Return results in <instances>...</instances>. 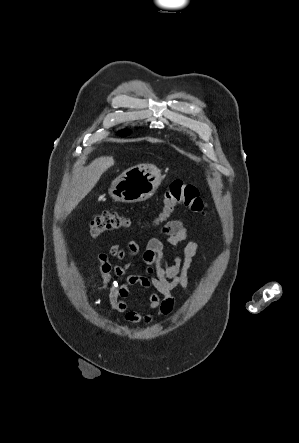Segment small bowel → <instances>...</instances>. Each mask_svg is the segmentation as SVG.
<instances>
[{
	"label": "small bowel",
	"instance_id": "c3829d8e",
	"mask_svg": "<svg viewBox=\"0 0 299 443\" xmlns=\"http://www.w3.org/2000/svg\"><path fill=\"white\" fill-rule=\"evenodd\" d=\"M167 236V243L175 251L174 261L168 264L164 258V244L158 238H150L142 253V259L146 264L144 274H128L132 263L123 265L111 264L108 256L117 260H124L127 256L135 257L140 253V245L136 240L128 243L123 249L119 245H112L108 254L98 255L101 286L109 288V301L112 308L119 313H124L125 319L130 323H149L152 314L149 311H157L162 316H168L174 308L172 291L175 288L187 289L189 287L188 271L194 256L199 252L200 246L195 241L188 242L182 251H179L181 243L189 238V232L179 220H173L165 224L160 230ZM114 277L124 278L119 284L113 281ZM138 285L145 291H151L147 302L140 310L128 308L130 288Z\"/></svg>",
	"mask_w": 299,
	"mask_h": 443
}]
</instances>
